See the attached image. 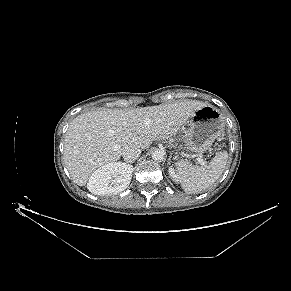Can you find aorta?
Segmentation results:
<instances>
[{"instance_id": "1", "label": "aorta", "mask_w": 291, "mask_h": 291, "mask_svg": "<svg viewBox=\"0 0 291 291\" xmlns=\"http://www.w3.org/2000/svg\"><path fill=\"white\" fill-rule=\"evenodd\" d=\"M152 159L156 162H162L165 159V152L161 149H155L152 152Z\"/></svg>"}]
</instances>
